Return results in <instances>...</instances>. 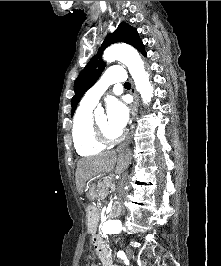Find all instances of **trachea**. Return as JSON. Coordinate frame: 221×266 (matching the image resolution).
<instances>
[{
    "label": "trachea",
    "mask_w": 221,
    "mask_h": 266,
    "mask_svg": "<svg viewBox=\"0 0 221 266\" xmlns=\"http://www.w3.org/2000/svg\"><path fill=\"white\" fill-rule=\"evenodd\" d=\"M124 86H126V87H130L131 84H130L129 82H125V83H124Z\"/></svg>",
    "instance_id": "3493384b"
}]
</instances>
